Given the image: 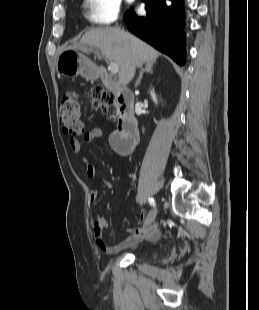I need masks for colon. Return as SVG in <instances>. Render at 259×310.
Segmentation results:
<instances>
[{
  "mask_svg": "<svg viewBox=\"0 0 259 310\" xmlns=\"http://www.w3.org/2000/svg\"><path fill=\"white\" fill-rule=\"evenodd\" d=\"M93 107L100 109L103 113L113 102V94L105 91L101 86L92 88L88 92ZM59 119L63 129L70 135L77 136L83 132L81 108L75 93H66L59 108Z\"/></svg>",
  "mask_w": 259,
  "mask_h": 310,
  "instance_id": "1",
  "label": "colon"
}]
</instances>
